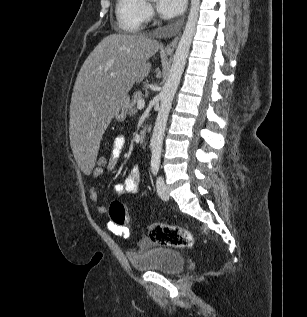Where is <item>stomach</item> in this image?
I'll return each instance as SVG.
<instances>
[{"mask_svg":"<svg viewBox=\"0 0 307 317\" xmlns=\"http://www.w3.org/2000/svg\"><path fill=\"white\" fill-rule=\"evenodd\" d=\"M129 103L128 97H126L123 101V103L119 106L117 111L114 114V117L117 121L122 122L126 119L127 116V104Z\"/></svg>","mask_w":307,"mask_h":317,"instance_id":"1","label":"stomach"}]
</instances>
